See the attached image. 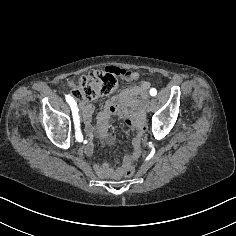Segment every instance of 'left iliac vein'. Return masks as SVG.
<instances>
[{
    "label": "left iliac vein",
    "instance_id": "1",
    "mask_svg": "<svg viewBox=\"0 0 236 236\" xmlns=\"http://www.w3.org/2000/svg\"><path fill=\"white\" fill-rule=\"evenodd\" d=\"M156 104H157L156 100H151V106L150 107L153 109Z\"/></svg>",
    "mask_w": 236,
    "mask_h": 236
}]
</instances>
